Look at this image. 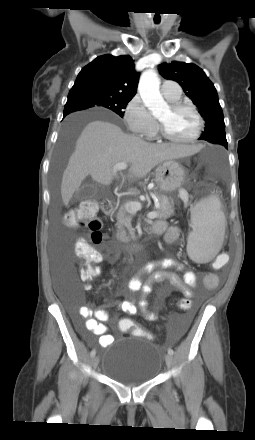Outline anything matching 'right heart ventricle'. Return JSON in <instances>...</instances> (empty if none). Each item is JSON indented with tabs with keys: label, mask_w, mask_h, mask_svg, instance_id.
I'll return each instance as SVG.
<instances>
[{
	"label": "right heart ventricle",
	"mask_w": 255,
	"mask_h": 440,
	"mask_svg": "<svg viewBox=\"0 0 255 440\" xmlns=\"http://www.w3.org/2000/svg\"><path fill=\"white\" fill-rule=\"evenodd\" d=\"M170 103H175L179 100V98H166Z\"/></svg>",
	"instance_id": "e07e8e85"
}]
</instances>
